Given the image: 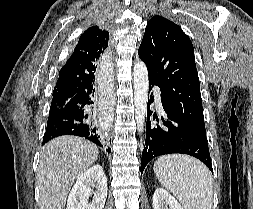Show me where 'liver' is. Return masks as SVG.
Here are the masks:
<instances>
[{
	"label": "liver",
	"mask_w": 253,
	"mask_h": 209,
	"mask_svg": "<svg viewBox=\"0 0 253 209\" xmlns=\"http://www.w3.org/2000/svg\"><path fill=\"white\" fill-rule=\"evenodd\" d=\"M98 155L95 144L78 136H60L45 144L37 173L40 209H64L75 180Z\"/></svg>",
	"instance_id": "1"
}]
</instances>
